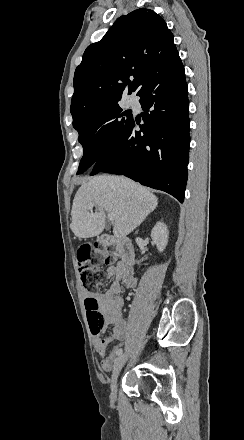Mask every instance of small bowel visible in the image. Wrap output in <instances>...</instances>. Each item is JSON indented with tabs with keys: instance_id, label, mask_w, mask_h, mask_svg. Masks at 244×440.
<instances>
[{
	"instance_id": "small-bowel-1",
	"label": "small bowel",
	"mask_w": 244,
	"mask_h": 440,
	"mask_svg": "<svg viewBox=\"0 0 244 440\" xmlns=\"http://www.w3.org/2000/svg\"><path fill=\"white\" fill-rule=\"evenodd\" d=\"M105 275L115 277V280L106 291L89 294L83 288L82 295L85 300L93 298L97 301L105 317V327L112 326V332L109 336L104 338H101L99 334L93 336L94 348L101 360L100 368L102 371L108 372L119 361L115 357L116 350L123 345L122 342L129 333V325L123 319L124 298L122 296V286L133 289L136 287L137 281L133 269L123 262L108 267ZM113 342H117V344L109 355H106L108 346Z\"/></svg>"
}]
</instances>
